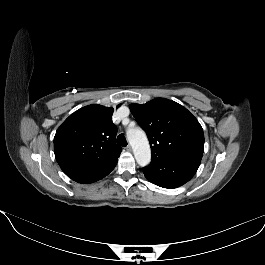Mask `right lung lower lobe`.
Returning <instances> with one entry per match:
<instances>
[{"instance_id":"right-lung-lower-lobe-1","label":"right lung lower lobe","mask_w":265,"mask_h":265,"mask_svg":"<svg viewBox=\"0 0 265 265\" xmlns=\"http://www.w3.org/2000/svg\"><path fill=\"white\" fill-rule=\"evenodd\" d=\"M109 173H99V172H87V173H78V174H70L69 178L78 182V183H92L97 180L102 179Z\"/></svg>"}]
</instances>
